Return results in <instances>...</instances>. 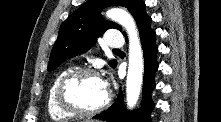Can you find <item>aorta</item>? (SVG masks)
Masks as SVG:
<instances>
[{"label":"aorta","mask_w":221,"mask_h":122,"mask_svg":"<svg viewBox=\"0 0 221 122\" xmlns=\"http://www.w3.org/2000/svg\"><path fill=\"white\" fill-rule=\"evenodd\" d=\"M107 16L123 26L129 36V63L126 80V97L129 109L136 105L143 80V53L136 25L132 16L123 9L113 8Z\"/></svg>","instance_id":"1"}]
</instances>
